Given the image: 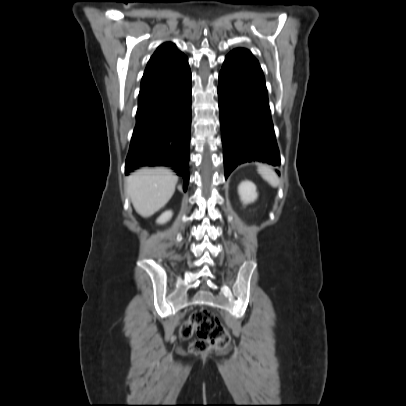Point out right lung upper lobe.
Returning <instances> with one entry per match:
<instances>
[{"label": "right lung upper lobe", "instance_id": "cb5924a9", "mask_svg": "<svg viewBox=\"0 0 406 406\" xmlns=\"http://www.w3.org/2000/svg\"><path fill=\"white\" fill-rule=\"evenodd\" d=\"M187 57L172 43H164L149 60L142 77L140 92L156 87L187 67Z\"/></svg>", "mask_w": 406, "mask_h": 406}]
</instances>
